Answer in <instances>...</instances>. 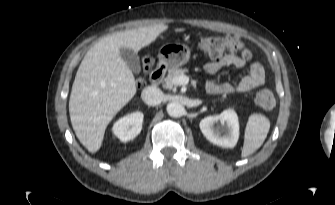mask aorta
Segmentation results:
<instances>
[{
  "instance_id": "1",
  "label": "aorta",
  "mask_w": 335,
  "mask_h": 205,
  "mask_svg": "<svg viewBox=\"0 0 335 205\" xmlns=\"http://www.w3.org/2000/svg\"><path fill=\"white\" fill-rule=\"evenodd\" d=\"M169 116L177 118L184 114V106L179 102H170L166 107Z\"/></svg>"
}]
</instances>
